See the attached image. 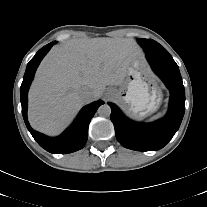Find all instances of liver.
Wrapping results in <instances>:
<instances>
[{
	"label": "liver",
	"instance_id": "6515ba94",
	"mask_svg": "<svg viewBox=\"0 0 207 207\" xmlns=\"http://www.w3.org/2000/svg\"><path fill=\"white\" fill-rule=\"evenodd\" d=\"M140 54L138 45L127 38L72 39L54 46L29 91L31 126L48 135L59 134L84 102L100 98L106 86L121 85ZM82 89L90 90L88 99L82 98Z\"/></svg>",
	"mask_w": 207,
	"mask_h": 207
}]
</instances>
